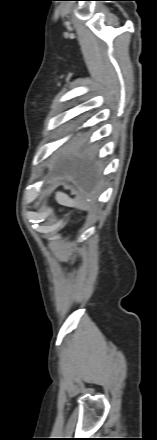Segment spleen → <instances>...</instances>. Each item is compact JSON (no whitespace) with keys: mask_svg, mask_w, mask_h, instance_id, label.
Here are the masks:
<instances>
[{"mask_svg":"<svg viewBox=\"0 0 157 440\" xmlns=\"http://www.w3.org/2000/svg\"><path fill=\"white\" fill-rule=\"evenodd\" d=\"M56 201L63 206L67 207H76L77 202L73 199H71L67 194L62 192H56L55 195Z\"/></svg>","mask_w":157,"mask_h":440,"instance_id":"3e777b00","label":"spleen"}]
</instances>
